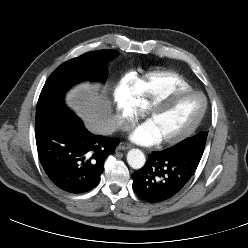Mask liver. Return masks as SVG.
Here are the masks:
<instances>
[{
	"label": "liver",
	"mask_w": 248,
	"mask_h": 248,
	"mask_svg": "<svg viewBox=\"0 0 248 248\" xmlns=\"http://www.w3.org/2000/svg\"><path fill=\"white\" fill-rule=\"evenodd\" d=\"M99 88V85L81 84L67 94L66 103L77 112L89 131L111 134L114 118L110 101L104 91L99 93Z\"/></svg>",
	"instance_id": "1"
}]
</instances>
